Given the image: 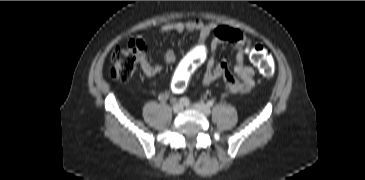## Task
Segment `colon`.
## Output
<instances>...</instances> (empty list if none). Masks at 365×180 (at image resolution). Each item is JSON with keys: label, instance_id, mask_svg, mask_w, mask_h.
I'll return each mask as SVG.
<instances>
[{"label": "colon", "instance_id": "5ec220e1", "mask_svg": "<svg viewBox=\"0 0 365 180\" xmlns=\"http://www.w3.org/2000/svg\"><path fill=\"white\" fill-rule=\"evenodd\" d=\"M247 52L252 63L264 77L271 78L274 75V60L268 49L261 45H255ZM110 62L112 79L121 82L130 80L137 69L146 63L145 44L139 40L130 41L126 47L117 48L112 52ZM185 86V78L174 83L176 91H183Z\"/></svg>", "mask_w": 365, "mask_h": 180}]
</instances>
